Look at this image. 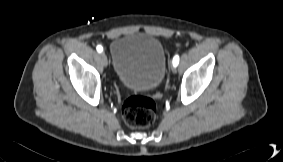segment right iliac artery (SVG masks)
<instances>
[{
    "instance_id": "1",
    "label": "right iliac artery",
    "mask_w": 283,
    "mask_h": 162,
    "mask_svg": "<svg viewBox=\"0 0 283 162\" xmlns=\"http://www.w3.org/2000/svg\"><path fill=\"white\" fill-rule=\"evenodd\" d=\"M96 49L99 53L103 51V47L101 45H98Z\"/></svg>"
}]
</instances>
